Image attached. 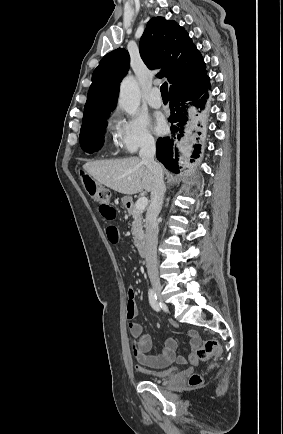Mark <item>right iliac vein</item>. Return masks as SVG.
Segmentation results:
<instances>
[{
  "label": "right iliac vein",
  "instance_id": "obj_1",
  "mask_svg": "<svg viewBox=\"0 0 283 434\" xmlns=\"http://www.w3.org/2000/svg\"><path fill=\"white\" fill-rule=\"evenodd\" d=\"M152 286H153V290H154V293L156 294V296L159 298V300H160L161 302H163V297H162V287H161L160 282H158V281H153V282H152Z\"/></svg>",
  "mask_w": 283,
  "mask_h": 434
}]
</instances>
